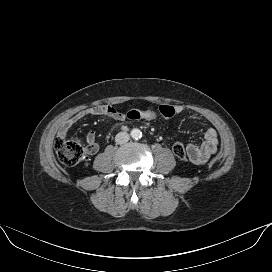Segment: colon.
Here are the masks:
<instances>
[{
    "label": "colon",
    "mask_w": 272,
    "mask_h": 272,
    "mask_svg": "<svg viewBox=\"0 0 272 272\" xmlns=\"http://www.w3.org/2000/svg\"><path fill=\"white\" fill-rule=\"evenodd\" d=\"M176 114V109L172 105L163 104L154 109L146 107L142 109H132L126 113V117L131 121L159 122L169 120ZM59 161L68 167L75 166L87 160V151L80 143L64 138H57L54 144ZM173 153L184 162L189 160L184 145L176 142L173 145Z\"/></svg>",
    "instance_id": "5ec220e1"
}]
</instances>
